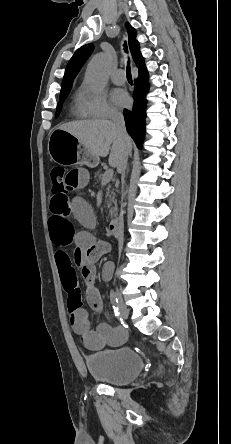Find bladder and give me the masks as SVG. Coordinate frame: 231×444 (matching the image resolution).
I'll return each mask as SVG.
<instances>
[{
    "mask_svg": "<svg viewBox=\"0 0 231 444\" xmlns=\"http://www.w3.org/2000/svg\"><path fill=\"white\" fill-rule=\"evenodd\" d=\"M85 365L95 379L117 386L131 383L143 369L140 355L124 347L89 355Z\"/></svg>",
    "mask_w": 231,
    "mask_h": 444,
    "instance_id": "31cf9c89",
    "label": "bladder"
}]
</instances>
